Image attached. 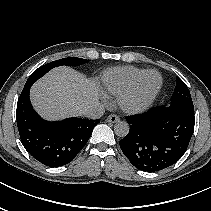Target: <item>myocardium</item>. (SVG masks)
Instances as JSON below:
<instances>
[{
	"instance_id": "myocardium-1",
	"label": "myocardium",
	"mask_w": 211,
	"mask_h": 211,
	"mask_svg": "<svg viewBox=\"0 0 211 211\" xmlns=\"http://www.w3.org/2000/svg\"><path fill=\"white\" fill-rule=\"evenodd\" d=\"M150 74H157L160 78V83L158 87L149 96L140 100L139 94L141 86L145 78ZM162 87V75L156 70H147L136 80V82L132 85L129 90L119 96V106L124 112L129 114H138L145 112L153 105L158 95L160 94Z\"/></svg>"
}]
</instances>
